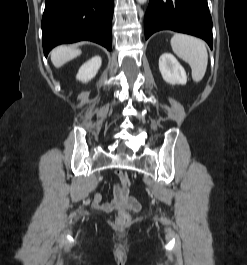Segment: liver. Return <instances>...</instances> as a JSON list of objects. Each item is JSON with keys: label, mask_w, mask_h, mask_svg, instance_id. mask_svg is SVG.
<instances>
[{"label": "liver", "mask_w": 247, "mask_h": 265, "mask_svg": "<svg viewBox=\"0 0 247 265\" xmlns=\"http://www.w3.org/2000/svg\"><path fill=\"white\" fill-rule=\"evenodd\" d=\"M81 54V50L69 46H59L51 52V61L55 67H61L66 62Z\"/></svg>", "instance_id": "obj_1"}]
</instances>
